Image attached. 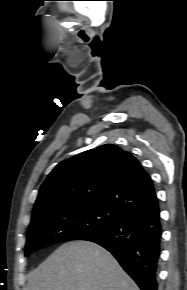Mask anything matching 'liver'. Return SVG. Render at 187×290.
Wrapping results in <instances>:
<instances>
[{
	"label": "liver",
	"instance_id": "obj_1",
	"mask_svg": "<svg viewBox=\"0 0 187 290\" xmlns=\"http://www.w3.org/2000/svg\"><path fill=\"white\" fill-rule=\"evenodd\" d=\"M26 290H140L103 247L71 241L28 274Z\"/></svg>",
	"mask_w": 187,
	"mask_h": 290
}]
</instances>
